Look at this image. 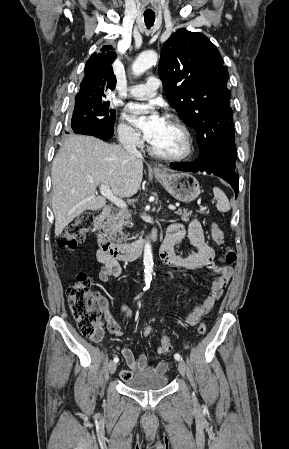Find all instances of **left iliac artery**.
<instances>
[{"label":"left iliac artery","instance_id":"44dca946","mask_svg":"<svg viewBox=\"0 0 289 449\" xmlns=\"http://www.w3.org/2000/svg\"><path fill=\"white\" fill-rule=\"evenodd\" d=\"M174 358H175L176 360H178V361L182 360L181 355L178 354V353H176V354L174 355Z\"/></svg>","mask_w":289,"mask_h":449}]
</instances>
